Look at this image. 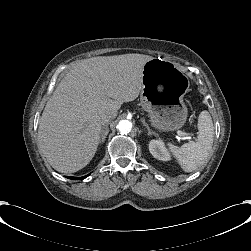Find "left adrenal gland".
Returning <instances> with one entry per match:
<instances>
[{"instance_id": "left-adrenal-gland-1", "label": "left adrenal gland", "mask_w": 251, "mask_h": 251, "mask_svg": "<svg viewBox=\"0 0 251 251\" xmlns=\"http://www.w3.org/2000/svg\"><path fill=\"white\" fill-rule=\"evenodd\" d=\"M141 122L145 125V130L147 131V134L148 135H150V134H155L156 136H158V134L155 132V131H153L150 127H149V125H148V123L145 121V118L144 117H142L141 118Z\"/></svg>"}]
</instances>
